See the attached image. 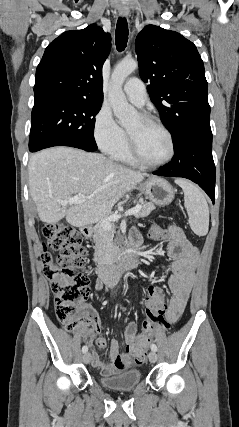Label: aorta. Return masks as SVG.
<instances>
[{
    "label": "aorta",
    "mask_w": 239,
    "mask_h": 427,
    "mask_svg": "<svg viewBox=\"0 0 239 427\" xmlns=\"http://www.w3.org/2000/svg\"><path fill=\"white\" fill-rule=\"evenodd\" d=\"M138 63L135 60H123L113 70L111 81L112 86L108 97L113 109L114 115L118 118L121 125H126L136 117V110L131 106L122 90L125 79L136 70Z\"/></svg>",
    "instance_id": "aorta-1"
}]
</instances>
